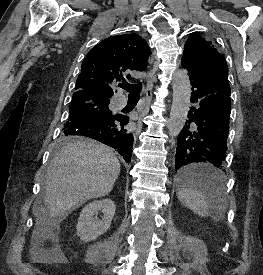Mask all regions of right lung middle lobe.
Instances as JSON below:
<instances>
[{"label": "right lung middle lobe", "mask_w": 263, "mask_h": 275, "mask_svg": "<svg viewBox=\"0 0 263 275\" xmlns=\"http://www.w3.org/2000/svg\"><path fill=\"white\" fill-rule=\"evenodd\" d=\"M109 103V98L100 97L94 94L73 96L69 107L70 115L63 129L85 119L112 116V112L108 107ZM71 141H73L72 135H68L62 131L58 143Z\"/></svg>", "instance_id": "dd1d6c3e"}]
</instances>
